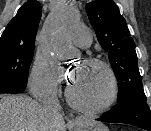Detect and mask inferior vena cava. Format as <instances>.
<instances>
[{"instance_id":"obj_1","label":"inferior vena cava","mask_w":151,"mask_h":131,"mask_svg":"<svg viewBox=\"0 0 151 131\" xmlns=\"http://www.w3.org/2000/svg\"><path fill=\"white\" fill-rule=\"evenodd\" d=\"M40 101L42 103L43 108L46 111L53 113L56 120L61 118L59 113L61 107L58 102L56 92L46 89Z\"/></svg>"}]
</instances>
